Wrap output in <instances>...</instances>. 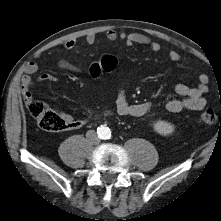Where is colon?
<instances>
[{"instance_id":"obj_1","label":"colon","mask_w":221,"mask_h":221,"mask_svg":"<svg viewBox=\"0 0 221 221\" xmlns=\"http://www.w3.org/2000/svg\"><path fill=\"white\" fill-rule=\"evenodd\" d=\"M118 60L114 56L106 55L90 66V74L98 77L102 72H109L116 69ZM31 115L36 119L39 126L49 132H61L68 128V122L60 114L51 110L46 103L40 100L31 99L27 103ZM200 121L204 124H213L217 120L215 111L207 108L201 112Z\"/></svg>"}]
</instances>
